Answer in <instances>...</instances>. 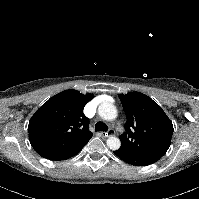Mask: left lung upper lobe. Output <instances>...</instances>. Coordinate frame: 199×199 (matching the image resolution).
<instances>
[{"mask_svg": "<svg viewBox=\"0 0 199 199\" xmlns=\"http://www.w3.org/2000/svg\"><path fill=\"white\" fill-rule=\"evenodd\" d=\"M119 98L127 117L125 133L120 136V148L158 161L171 144V120L145 94L131 92L120 94Z\"/></svg>", "mask_w": 199, "mask_h": 199, "instance_id": "1", "label": "left lung upper lobe"}]
</instances>
